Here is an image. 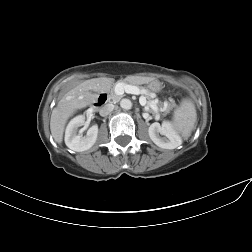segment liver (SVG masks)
<instances>
[{
    "mask_svg": "<svg viewBox=\"0 0 252 252\" xmlns=\"http://www.w3.org/2000/svg\"><path fill=\"white\" fill-rule=\"evenodd\" d=\"M126 80L133 84H142L150 81V78L129 76ZM114 79L112 78H94L86 80L63 97L53 109L50 119V129L54 140L61 143L67 120L77 111L93 104L97 95L94 92H104L110 89Z\"/></svg>",
    "mask_w": 252,
    "mask_h": 252,
    "instance_id": "liver-1",
    "label": "liver"
}]
</instances>
